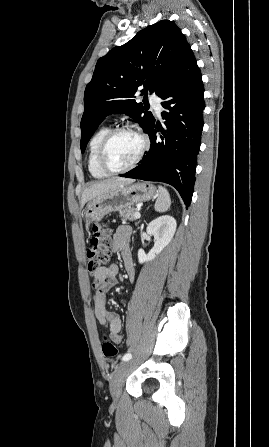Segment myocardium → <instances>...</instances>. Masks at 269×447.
Masks as SVG:
<instances>
[{
	"instance_id": "myocardium-1",
	"label": "myocardium",
	"mask_w": 269,
	"mask_h": 447,
	"mask_svg": "<svg viewBox=\"0 0 269 447\" xmlns=\"http://www.w3.org/2000/svg\"><path fill=\"white\" fill-rule=\"evenodd\" d=\"M123 131H134V132L138 133L143 139V145H142V148H141L140 152L138 153L137 157L130 165L121 167V168H114L107 161V150H108V146H109L111 140L113 139V137L117 133L123 132ZM150 144H151V141H150L149 135L141 127H139L137 125H122V126L113 128L106 134V136L104 137V139L101 143L100 151H99V164L102 167V169H104L106 172L112 173V174L129 171V170L133 169L135 166H137V164L143 159L146 152L150 148Z\"/></svg>"
}]
</instances>
